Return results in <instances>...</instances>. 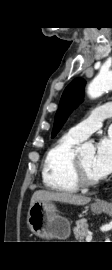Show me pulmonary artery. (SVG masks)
Instances as JSON below:
<instances>
[{"label":"pulmonary artery","instance_id":"pulmonary-artery-1","mask_svg":"<svg viewBox=\"0 0 112 270\" xmlns=\"http://www.w3.org/2000/svg\"><path fill=\"white\" fill-rule=\"evenodd\" d=\"M110 117H112V104L100 106L96 108L87 119L72 127L68 134L82 141L90 134L100 129L103 125V120Z\"/></svg>","mask_w":112,"mask_h":270}]
</instances>
